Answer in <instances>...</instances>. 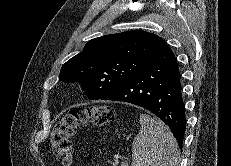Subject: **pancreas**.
Wrapping results in <instances>:
<instances>
[{
  "instance_id": "cf45deb5",
  "label": "pancreas",
  "mask_w": 231,
  "mask_h": 166,
  "mask_svg": "<svg viewBox=\"0 0 231 166\" xmlns=\"http://www.w3.org/2000/svg\"><path fill=\"white\" fill-rule=\"evenodd\" d=\"M117 165H118V162L115 161V162L113 163V166H117Z\"/></svg>"
}]
</instances>
